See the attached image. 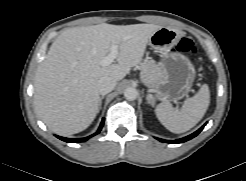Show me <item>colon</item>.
I'll return each mask as SVG.
<instances>
[{"instance_id": "colon-1", "label": "colon", "mask_w": 246, "mask_h": 181, "mask_svg": "<svg viewBox=\"0 0 246 181\" xmlns=\"http://www.w3.org/2000/svg\"><path fill=\"white\" fill-rule=\"evenodd\" d=\"M177 51L181 53H194L195 47L191 39L182 38L177 45Z\"/></svg>"}]
</instances>
